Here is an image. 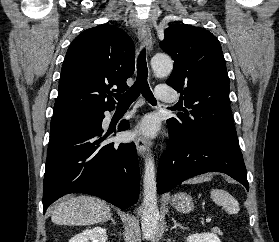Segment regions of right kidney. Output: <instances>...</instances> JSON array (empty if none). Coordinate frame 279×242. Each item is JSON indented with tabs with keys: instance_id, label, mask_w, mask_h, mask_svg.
Segmentation results:
<instances>
[{
	"instance_id": "1",
	"label": "right kidney",
	"mask_w": 279,
	"mask_h": 242,
	"mask_svg": "<svg viewBox=\"0 0 279 242\" xmlns=\"http://www.w3.org/2000/svg\"><path fill=\"white\" fill-rule=\"evenodd\" d=\"M106 229L100 226L92 229H85L81 233L75 235L69 242H106Z\"/></svg>"
}]
</instances>
